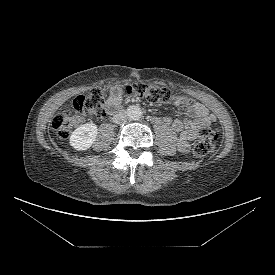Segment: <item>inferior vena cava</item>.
Listing matches in <instances>:
<instances>
[{"label":"inferior vena cava","instance_id":"inferior-vena-cava-1","mask_svg":"<svg viewBox=\"0 0 275 275\" xmlns=\"http://www.w3.org/2000/svg\"><path fill=\"white\" fill-rule=\"evenodd\" d=\"M127 120V112L119 111L117 114L113 116V122L116 124L123 123Z\"/></svg>","mask_w":275,"mask_h":275}]
</instances>
